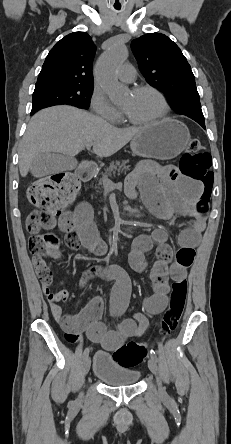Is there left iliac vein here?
I'll return each mask as SVG.
<instances>
[{"mask_svg":"<svg viewBox=\"0 0 231 444\" xmlns=\"http://www.w3.org/2000/svg\"><path fill=\"white\" fill-rule=\"evenodd\" d=\"M148 366L149 369L151 370V372L156 376L157 378V382H158V388H159V392L160 394L163 396L165 395V388L162 385L161 382V378L159 376V371H158V366H157V361L154 357H150V359L148 360Z\"/></svg>","mask_w":231,"mask_h":444,"instance_id":"obj_1","label":"left iliac vein"}]
</instances>
